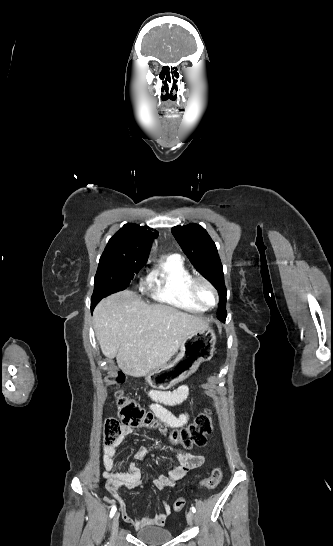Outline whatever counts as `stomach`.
<instances>
[{"mask_svg": "<svg viewBox=\"0 0 333 546\" xmlns=\"http://www.w3.org/2000/svg\"><path fill=\"white\" fill-rule=\"evenodd\" d=\"M215 344L216 336L211 328L194 333L180 346L174 361L146 375L147 382L154 388L168 390L193 374L202 362L210 360Z\"/></svg>", "mask_w": 333, "mask_h": 546, "instance_id": "0dacf381", "label": "stomach"}]
</instances>
